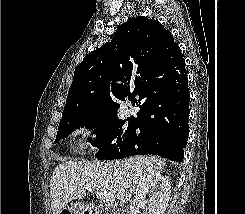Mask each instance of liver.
Segmentation results:
<instances>
[{"label":"liver","mask_w":245,"mask_h":214,"mask_svg":"<svg viewBox=\"0 0 245 214\" xmlns=\"http://www.w3.org/2000/svg\"><path fill=\"white\" fill-rule=\"evenodd\" d=\"M165 162L155 156H135L124 160L62 161L50 180V198L53 214H60L66 205L85 197L86 184L93 191L114 195L120 204L126 203L139 181L149 172L162 169Z\"/></svg>","instance_id":"obj_1"}]
</instances>
